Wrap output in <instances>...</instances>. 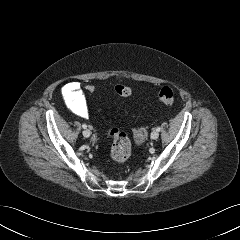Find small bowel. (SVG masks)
<instances>
[{"label":"small bowel","instance_id":"obj_1","mask_svg":"<svg viewBox=\"0 0 240 240\" xmlns=\"http://www.w3.org/2000/svg\"><path fill=\"white\" fill-rule=\"evenodd\" d=\"M62 94L68 107L77 115L86 118L88 117V107L82 88L77 82L67 83ZM147 137V129L138 127L133 130V138L136 144H142Z\"/></svg>","mask_w":240,"mask_h":240}]
</instances>
